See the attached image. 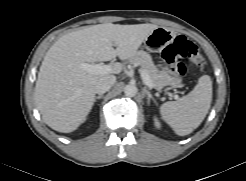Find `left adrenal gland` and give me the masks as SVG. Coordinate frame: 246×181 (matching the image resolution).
I'll list each match as a JSON object with an SVG mask.
<instances>
[{"instance_id": "left-adrenal-gland-1", "label": "left adrenal gland", "mask_w": 246, "mask_h": 181, "mask_svg": "<svg viewBox=\"0 0 246 181\" xmlns=\"http://www.w3.org/2000/svg\"><path fill=\"white\" fill-rule=\"evenodd\" d=\"M143 92L148 97V102H147L148 104H150V100H152L156 104V100L154 99V97L152 96V94L147 89L144 88L143 89Z\"/></svg>"}]
</instances>
